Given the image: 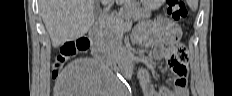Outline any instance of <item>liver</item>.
Instances as JSON below:
<instances>
[{
  "label": "liver",
  "mask_w": 232,
  "mask_h": 96,
  "mask_svg": "<svg viewBox=\"0 0 232 96\" xmlns=\"http://www.w3.org/2000/svg\"><path fill=\"white\" fill-rule=\"evenodd\" d=\"M97 0H40L42 20L49 33L52 46L84 36L95 22L94 3ZM113 0H102L103 4ZM123 4L126 0H116Z\"/></svg>",
  "instance_id": "obj_1"
}]
</instances>
